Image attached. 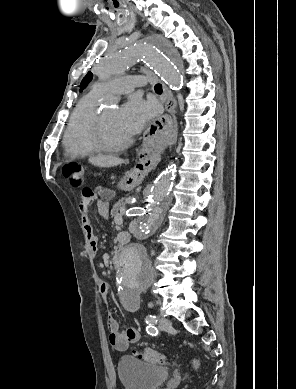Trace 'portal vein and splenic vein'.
I'll return each mask as SVG.
<instances>
[{"instance_id":"18ae733b","label":"portal vein and splenic vein","mask_w":296,"mask_h":389,"mask_svg":"<svg viewBox=\"0 0 296 389\" xmlns=\"http://www.w3.org/2000/svg\"><path fill=\"white\" fill-rule=\"evenodd\" d=\"M115 221H119V222H122V216L121 214L120 215H117L114 219Z\"/></svg>"}]
</instances>
